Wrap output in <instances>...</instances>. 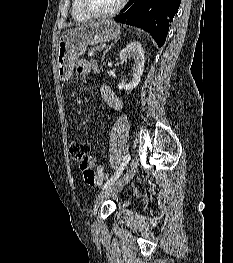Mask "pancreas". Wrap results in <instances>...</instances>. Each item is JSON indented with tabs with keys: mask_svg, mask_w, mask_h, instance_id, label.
I'll use <instances>...</instances> for the list:
<instances>
[{
	"mask_svg": "<svg viewBox=\"0 0 233 263\" xmlns=\"http://www.w3.org/2000/svg\"><path fill=\"white\" fill-rule=\"evenodd\" d=\"M99 49H100V47L97 46V47L92 48L90 51H91V52H94V51H97V50H99Z\"/></svg>",
	"mask_w": 233,
	"mask_h": 263,
	"instance_id": "1",
	"label": "pancreas"
}]
</instances>
